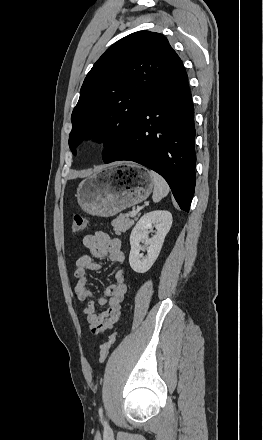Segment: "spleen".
Segmentation results:
<instances>
[{
	"label": "spleen",
	"mask_w": 263,
	"mask_h": 440,
	"mask_svg": "<svg viewBox=\"0 0 263 440\" xmlns=\"http://www.w3.org/2000/svg\"><path fill=\"white\" fill-rule=\"evenodd\" d=\"M150 176L153 180L154 190H153V201L155 203L159 202L162 198L167 196L169 193V186L165 179L154 171H150Z\"/></svg>",
	"instance_id": "1"
}]
</instances>
